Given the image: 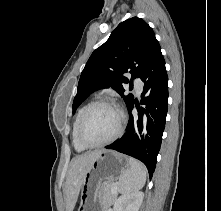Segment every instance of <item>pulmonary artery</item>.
Here are the masks:
<instances>
[{
    "instance_id": "e3ab8cb5",
    "label": "pulmonary artery",
    "mask_w": 221,
    "mask_h": 211,
    "mask_svg": "<svg viewBox=\"0 0 221 211\" xmlns=\"http://www.w3.org/2000/svg\"><path fill=\"white\" fill-rule=\"evenodd\" d=\"M134 86H135L137 93L140 94L142 91V87H143L142 81L140 79H135Z\"/></svg>"
}]
</instances>
